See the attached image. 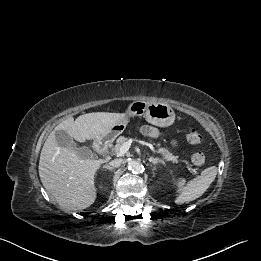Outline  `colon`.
Listing matches in <instances>:
<instances>
[{
  "label": "colon",
  "instance_id": "5ec220e1",
  "mask_svg": "<svg viewBox=\"0 0 261 261\" xmlns=\"http://www.w3.org/2000/svg\"><path fill=\"white\" fill-rule=\"evenodd\" d=\"M185 139H186V142L192 146H197V145L201 144V142H202V136H201L200 132L194 127H189L187 129ZM205 161H206V155L204 152L197 151V152L193 153L192 162L194 165H197V166L203 165L205 163Z\"/></svg>",
  "mask_w": 261,
  "mask_h": 261
}]
</instances>
